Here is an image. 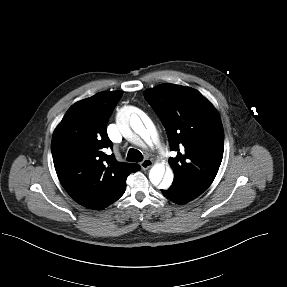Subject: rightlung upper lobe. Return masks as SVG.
<instances>
[{
    "label": "right lung upper lobe",
    "instance_id": "obj_1",
    "mask_svg": "<svg viewBox=\"0 0 287 287\" xmlns=\"http://www.w3.org/2000/svg\"><path fill=\"white\" fill-rule=\"evenodd\" d=\"M122 92L103 91L73 104L56 127L51 144L58 178L79 204L102 210L118 200L135 163H119L105 153L113 147L106 125Z\"/></svg>",
    "mask_w": 287,
    "mask_h": 287
}]
</instances>
